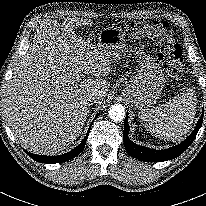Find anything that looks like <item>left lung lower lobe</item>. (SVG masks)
<instances>
[{
  "label": "left lung lower lobe",
  "instance_id": "0a47b994",
  "mask_svg": "<svg viewBox=\"0 0 206 206\" xmlns=\"http://www.w3.org/2000/svg\"><path fill=\"white\" fill-rule=\"evenodd\" d=\"M204 113V111H203ZM203 113L191 135L182 143L164 150H154L133 143L129 137L128 113L125 117L123 140L127 152L134 158L146 162H162L174 159L182 154L194 141L203 121Z\"/></svg>",
  "mask_w": 206,
  "mask_h": 206
}]
</instances>
